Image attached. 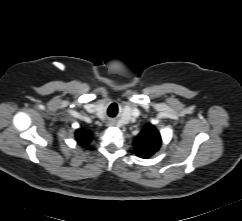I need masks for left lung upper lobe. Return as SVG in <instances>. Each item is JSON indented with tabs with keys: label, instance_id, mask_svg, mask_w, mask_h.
<instances>
[{
	"label": "left lung upper lobe",
	"instance_id": "5c2ea615",
	"mask_svg": "<svg viewBox=\"0 0 242 221\" xmlns=\"http://www.w3.org/2000/svg\"><path fill=\"white\" fill-rule=\"evenodd\" d=\"M161 136L153 125L146 126L134 141L136 154L141 158H148L158 151Z\"/></svg>",
	"mask_w": 242,
	"mask_h": 221
}]
</instances>
